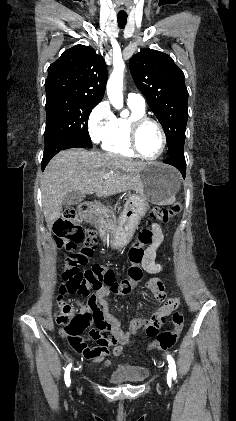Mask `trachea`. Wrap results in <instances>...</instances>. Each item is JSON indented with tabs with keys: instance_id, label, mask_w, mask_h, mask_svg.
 <instances>
[{
	"instance_id": "obj_1",
	"label": "trachea",
	"mask_w": 236,
	"mask_h": 421,
	"mask_svg": "<svg viewBox=\"0 0 236 421\" xmlns=\"http://www.w3.org/2000/svg\"><path fill=\"white\" fill-rule=\"evenodd\" d=\"M117 21H118L119 28H124L127 22V15H118Z\"/></svg>"
}]
</instances>
